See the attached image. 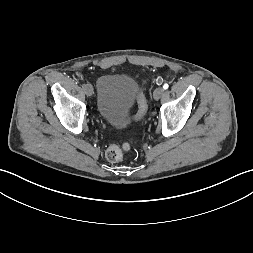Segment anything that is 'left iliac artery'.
<instances>
[{"label":"left iliac artery","mask_w":253,"mask_h":253,"mask_svg":"<svg viewBox=\"0 0 253 253\" xmlns=\"http://www.w3.org/2000/svg\"><path fill=\"white\" fill-rule=\"evenodd\" d=\"M163 88H164V89H167V88H168V84H164V85H163Z\"/></svg>","instance_id":"obj_1"}]
</instances>
